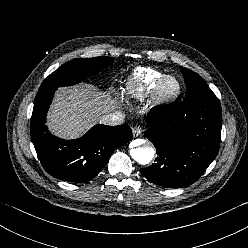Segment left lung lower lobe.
I'll return each instance as SVG.
<instances>
[{"label":"left lung lower lobe","instance_id":"0a47b994","mask_svg":"<svg viewBox=\"0 0 248 248\" xmlns=\"http://www.w3.org/2000/svg\"><path fill=\"white\" fill-rule=\"evenodd\" d=\"M221 106L215 95L153 108L145 136L158 157L141 169L150 182L164 187L193 184L216 157L221 136Z\"/></svg>","mask_w":248,"mask_h":248}]
</instances>
